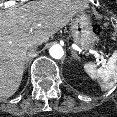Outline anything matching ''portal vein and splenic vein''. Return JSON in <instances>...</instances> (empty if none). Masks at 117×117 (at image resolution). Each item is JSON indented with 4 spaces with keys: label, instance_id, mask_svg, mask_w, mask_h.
<instances>
[{
    "label": "portal vein and splenic vein",
    "instance_id": "portal-vein-and-splenic-vein-1",
    "mask_svg": "<svg viewBox=\"0 0 117 117\" xmlns=\"http://www.w3.org/2000/svg\"><path fill=\"white\" fill-rule=\"evenodd\" d=\"M32 31H33V28L31 27L30 33H32ZM90 53L94 54L97 58L103 59V56L100 54L99 51L91 50Z\"/></svg>",
    "mask_w": 117,
    "mask_h": 117
}]
</instances>
